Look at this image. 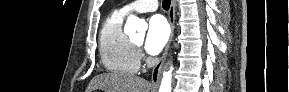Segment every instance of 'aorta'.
Returning <instances> with one entry per match:
<instances>
[{
  "label": "aorta",
  "mask_w": 289,
  "mask_h": 92,
  "mask_svg": "<svg viewBox=\"0 0 289 92\" xmlns=\"http://www.w3.org/2000/svg\"><path fill=\"white\" fill-rule=\"evenodd\" d=\"M147 29V24L144 20L139 19L138 17L131 15L128 17L125 24V33H134L136 30L145 31ZM172 68L169 71L163 72V78L159 88V92H171L172 86Z\"/></svg>",
  "instance_id": "obj_1"
}]
</instances>
